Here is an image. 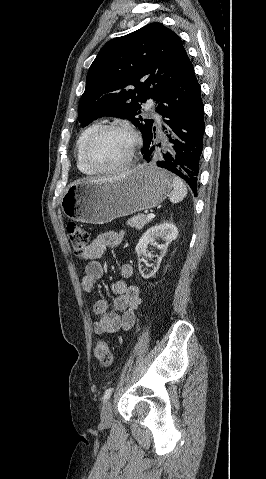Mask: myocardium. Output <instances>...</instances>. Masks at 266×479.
Wrapping results in <instances>:
<instances>
[{"label":"myocardium","instance_id":"obj_1","mask_svg":"<svg viewBox=\"0 0 266 479\" xmlns=\"http://www.w3.org/2000/svg\"><path fill=\"white\" fill-rule=\"evenodd\" d=\"M110 130H118V131H123L129 134L132 138V145L130 147L129 153L126 157V159L121 162L120 164L110 167V168H99L97 167L91 160V150L92 147L95 143V141L98 139L99 136H101L103 133L110 131ZM140 145V137L137 134V132L130 126L125 125V124H120V123H110V124H104L100 125L87 139V142L84 147L83 151V158L84 161L87 165V167L94 173V174H111L115 173L121 170H124L128 168L135 157V153Z\"/></svg>","mask_w":266,"mask_h":479}]
</instances>
